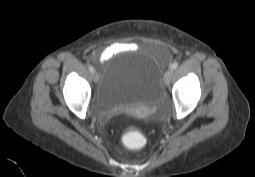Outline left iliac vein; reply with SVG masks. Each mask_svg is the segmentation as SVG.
Listing matches in <instances>:
<instances>
[{
  "instance_id": "4c4485c4",
  "label": "left iliac vein",
  "mask_w": 255,
  "mask_h": 177,
  "mask_svg": "<svg viewBox=\"0 0 255 177\" xmlns=\"http://www.w3.org/2000/svg\"><path fill=\"white\" fill-rule=\"evenodd\" d=\"M173 75V70L172 69H168L164 75V83L165 85H169L170 80L172 78Z\"/></svg>"
}]
</instances>
